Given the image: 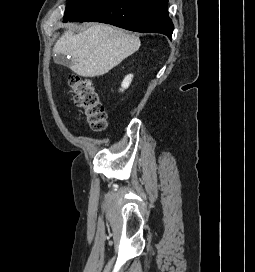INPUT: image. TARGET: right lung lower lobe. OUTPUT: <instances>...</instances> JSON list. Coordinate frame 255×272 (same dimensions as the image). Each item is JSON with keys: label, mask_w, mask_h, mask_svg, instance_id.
<instances>
[{"label": "right lung lower lobe", "mask_w": 255, "mask_h": 272, "mask_svg": "<svg viewBox=\"0 0 255 272\" xmlns=\"http://www.w3.org/2000/svg\"><path fill=\"white\" fill-rule=\"evenodd\" d=\"M167 4L168 0H90L64 22H102L171 38L173 23Z\"/></svg>", "instance_id": "1"}]
</instances>
